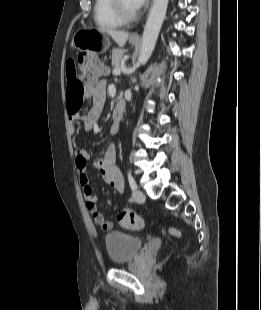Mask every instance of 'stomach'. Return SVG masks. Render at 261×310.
Returning <instances> with one entry per match:
<instances>
[{
  "mask_svg": "<svg viewBox=\"0 0 261 310\" xmlns=\"http://www.w3.org/2000/svg\"><path fill=\"white\" fill-rule=\"evenodd\" d=\"M130 42L132 45L136 44L134 41ZM72 44L81 51L92 50L96 53H103L108 49L110 41L104 32L94 29H81L74 34Z\"/></svg>",
  "mask_w": 261,
  "mask_h": 310,
  "instance_id": "1",
  "label": "stomach"
}]
</instances>
